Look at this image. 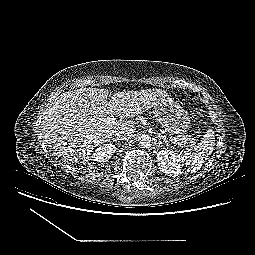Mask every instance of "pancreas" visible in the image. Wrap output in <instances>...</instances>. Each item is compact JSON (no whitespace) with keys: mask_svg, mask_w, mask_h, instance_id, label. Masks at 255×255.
Returning a JSON list of instances; mask_svg holds the SVG:
<instances>
[{"mask_svg":"<svg viewBox=\"0 0 255 255\" xmlns=\"http://www.w3.org/2000/svg\"><path fill=\"white\" fill-rule=\"evenodd\" d=\"M173 138H176L177 139V142L180 141V143L184 146H187V145H194L195 144V140L191 137H183L181 138L180 136L178 137H173Z\"/></svg>","mask_w":255,"mask_h":255,"instance_id":"1","label":"pancreas"}]
</instances>
